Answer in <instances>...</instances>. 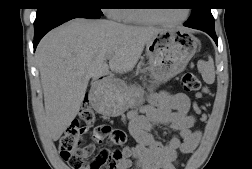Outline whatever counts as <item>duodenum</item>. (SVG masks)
Returning a JSON list of instances; mask_svg holds the SVG:
<instances>
[{
	"mask_svg": "<svg viewBox=\"0 0 252 169\" xmlns=\"http://www.w3.org/2000/svg\"><path fill=\"white\" fill-rule=\"evenodd\" d=\"M105 78H106V76H101V77H100V79H105Z\"/></svg>",
	"mask_w": 252,
	"mask_h": 169,
	"instance_id": "obj_1",
	"label": "duodenum"
}]
</instances>
